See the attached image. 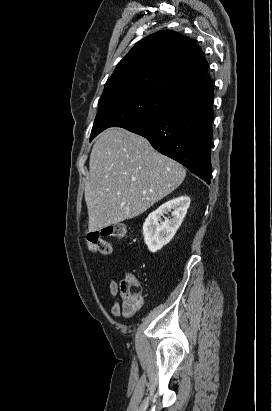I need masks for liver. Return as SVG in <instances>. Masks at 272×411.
I'll return each mask as SVG.
<instances>
[{"label":"liver","mask_w":272,"mask_h":411,"mask_svg":"<svg viewBox=\"0 0 272 411\" xmlns=\"http://www.w3.org/2000/svg\"><path fill=\"white\" fill-rule=\"evenodd\" d=\"M186 170L144 137L109 128L96 140L85 185L89 232L132 219L170 194Z\"/></svg>","instance_id":"6515ba94"}]
</instances>
